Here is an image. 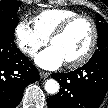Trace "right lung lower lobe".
<instances>
[{
    "mask_svg": "<svg viewBox=\"0 0 108 108\" xmlns=\"http://www.w3.org/2000/svg\"><path fill=\"white\" fill-rule=\"evenodd\" d=\"M38 79V70L14 41L0 35V108H15L24 88Z\"/></svg>",
    "mask_w": 108,
    "mask_h": 108,
    "instance_id": "right-lung-lower-lobe-1",
    "label": "right lung lower lobe"
}]
</instances>
